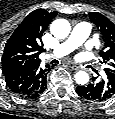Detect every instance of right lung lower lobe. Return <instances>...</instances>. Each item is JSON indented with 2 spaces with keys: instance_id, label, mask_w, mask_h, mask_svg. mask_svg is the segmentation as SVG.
<instances>
[{
  "instance_id": "98d812e1",
  "label": "right lung lower lobe",
  "mask_w": 115,
  "mask_h": 119,
  "mask_svg": "<svg viewBox=\"0 0 115 119\" xmlns=\"http://www.w3.org/2000/svg\"><path fill=\"white\" fill-rule=\"evenodd\" d=\"M48 67L43 69L40 64H35L6 74V84L20 96L36 98L46 89Z\"/></svg>"
}]
</instances>
